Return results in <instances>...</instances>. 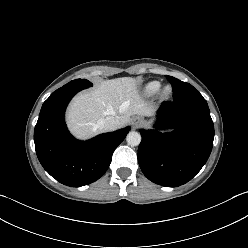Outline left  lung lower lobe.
Listing matches in <instances>:
<instances>
[{
    "label": "left lung lower lobe",
    "instance_id": "obj_1",
    "mask_svg": "<svg viewBox=\"0 0 248 248\" xmlns=\"http://www.w3.org/2000/svg\"><path fill=\"white\" fill-rule=\"evenodd\" d=\"M174 129L161 133L162 127ZM138 162L152 182L176 187L190 181L209 158L214 125L203 96L164 103L154 130H140Z\"/></svg>",
    "mask_w": 248,
    "mask_h": 248
}]
</instances>
